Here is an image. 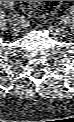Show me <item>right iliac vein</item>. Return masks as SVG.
Wrapping results in <instances>:
<instances>
[{
  "label": "right iliac vein",
  "instance_id": "1",
  "mask_svg": "<svg viewBox=\"0 0 74 122\" xmlns=\"http://www.w3.org/2000/svg\"><path fill=\"white\" fill-rule=\"evenodd\" d=\"M12 32H14V34H16L18 32V28L16 26L12 27Z\"/></svg>",
  "mask_w": 74,
  "mask_h": 122
}]
</instances>
